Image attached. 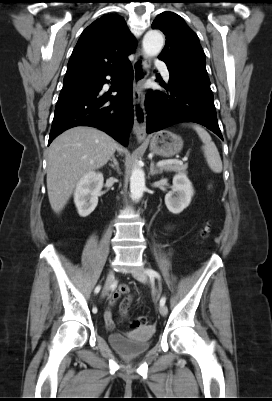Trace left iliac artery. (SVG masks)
I'll use <instances>...</instances> for the list:
<instances>
[{
	"instance_id": "1",
	"label": "left iliac artery",
	"mask_w": 272,
	"mask_h": 401,
	"mask_svg": "<svg viewBox=\"0 0 272 401\" xmlns=\"http://www.w3.org/2000/svg\"><path fill=\"white\" fill-rule=\"evenodd\" d=\"M145 272L150 277V279H154V278L160 279V274L153 269H146ZM165 302H166V298L162 297L160 300V305H164Z\"/></svg>"
}]
</instances>
